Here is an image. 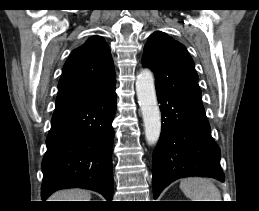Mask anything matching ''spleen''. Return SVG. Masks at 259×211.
Masks as SVG:
<instances>
[{
  "label": "spleen",
  "instance_id": "spleen-1",
  "mask_svg": "<svg viewBox=\"0 0 259 211\" xmlns=\"http://www.w3.org/2000/svg\"><path fill=\"white\" fill-rule=\"evenodd\" d=\"M180 189L190 201H222L220 191L208 178H185L180 182Z\"/></svg>",
  "mask_w": 259,
  "mask_h": 211
}]
</instances>
